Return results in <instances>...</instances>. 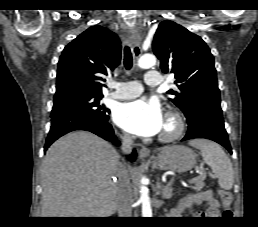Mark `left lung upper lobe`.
Returning a JSON list of instances; mask_svg holds the SVG:
<instances>
[{
  "label": "left lung upper lobe",
  "mask_w": 258,
  "mask_h": 227,
  "mask_svg": "<svg viewBox=\"0 0 258 227\" xmlns=\"http://www.w3.org/2000/svg\"><path fill=\"white\" fill-rule=\"evenodd\" d=\"M154 54L164 73L175 75L177 90L171 101L193 120L203 109H220L214 58L206 43L183 26L169 20L159 24L153 41Z\"/></svg>",
  "instance_id": "1"
}]
</instances>
